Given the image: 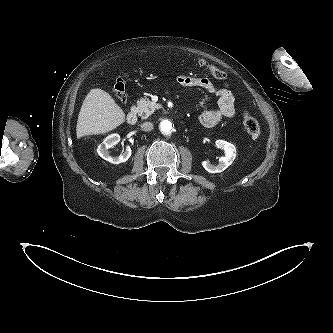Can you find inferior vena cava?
<instances>
[{
	"label": "inferior vena cava",
	"instance_id": "602c4592",
	"mask_svg": "<svg viewBox=\"0 0 333 333\" xmlns=\"http://www.w3.org/2000/svg\"><path fill=\"white\" fill-rule=\"evenodd\" d=\"M141 129L143 131H151L153 129V123L152 122H144L141 125Z\"/></svg>",
	"mask_w": 333,
	"mask_h": 333
}]
</instances>
